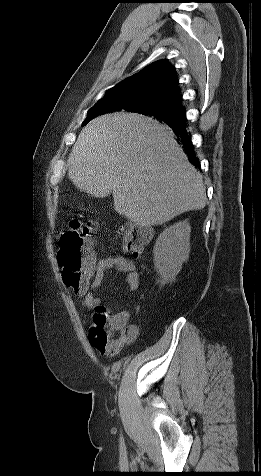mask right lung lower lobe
Segmentation results:
<instances>
[{
  "instance_id": "98d812e1",
  "label": "right lung lower lobe",
  "mask_w": 261,
  "mask_h": 476,
  "mask_svg": "<svg viewBox=\"0 0 261 476\" xmlns=\"http://www.w3.org/2000/svg\"><path fill=\"white\" fill-rule=\"evenodd\" d=\"M185 114V113H184ZM186 115L180 120L179 122H175L173 124H168L178 137L179 141L183 145L185 153L188 155V158L190 162L198 166V159L196 158V155L193 150V144L191 142V137L189 136L187 130H186Z\"/></svg>"
}]
</instances>
